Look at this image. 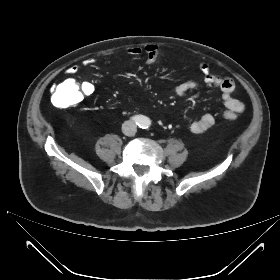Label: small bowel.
<instances>
[{
  "label": "small bowel",
  "mask_w": 280,
  "mask_h": 280,
  "mask_svg": "<svg viewBox=\"0 0 280 280\" xmlns=\"http://www.w3.org/2000/svg\"><path fill=\"white\" fill-rule=\"evenodd\" d=\"M127 54L133 57H139L145 55L146 61L149 64L155 63L159 58V49L156 45H147L144 48L138 46H132L127 48ZM96 62L95 58H89L85 61L86 66H90ZM199 69L204 75L203 82L207 87H215L222 92V102L226 107V111L223 116L233 114L235 117L237 114L244 110V104L240 100L233 97V91L235 88L234 81L228 77H222L220 75L213 74L210 71V67L206 62H201ZM79 71L78 65H72L68 68L70 75H75ZM200 82L195 79L187 80L179 83L175 87V94L177 96H183L191 90H195L200 86ZM95 84L91 81H84L80 85V95L82 99L85 96H90L95 91ZM215 123V118L211 114H203L199 116L190 125V130L194 134H200L210 129Z\"/></svg>",
  "instance_id": "small-bowel-1"
}]
</instances>
